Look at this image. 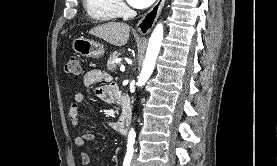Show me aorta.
<instances>
[{"instance_id":"obj_1","label":"aorta","mask_w":277,"mask_h":166,"mask_svg":"<svg viewBox=\"0 0 277 166\" xmlns=\"http://www.w3.org/2000/svg\"><path fill=\"white\" fill-rule=\"evenodd\" d=\"M163 40V25L159 23L152 32L149 40L148 48L146 51L145 60L141 73L139 75L138 83L143 86L151 76L157 56L159 54L161 43ZM136 133L134 129H131L128 135V149H132L135 142Z\"/></svg>"}]
</instances>
